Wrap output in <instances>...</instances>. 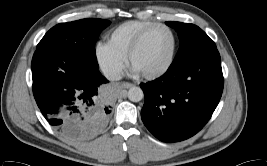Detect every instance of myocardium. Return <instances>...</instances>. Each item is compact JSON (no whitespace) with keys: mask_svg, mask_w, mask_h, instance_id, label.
Instances as JSON below:
<instances>
[{"mask_svg":"<svg viewBox=\"0 0 267 166\" xmlns=\"http://www.w3.org/2000/svg\"><path fill=\"white\" fill-rule=\"evenodd\" d=\"M158 29H165L171 34L172 50H171V54H170L168 62L161 69H159L155 72L143 73V77L146 79L158 78V77L162 76L163 74H165L171 68V66L174 62V59H175L176 51H177V37H176V34L174 33V31L169 26H167L165 24H156V25L152 26L151 28H149L145 32H143L135 40V42L130 47V49L127 53V56H126L128 64L132 65V59H133L134 55L136 54V52L141 47V45L143 44L144 40L147 38V36L149 34H151L153 31L158 30Z\"/></svg>","mask_w":267,"mask_h":166,"instance_id":"obj_1","label":"myocardium"}]
</instances>
